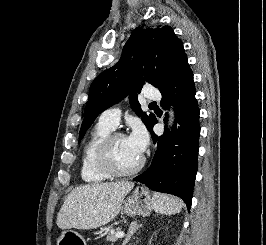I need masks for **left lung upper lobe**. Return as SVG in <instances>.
I'll return each instance as SVG.
<instances>
[{
    "instance_id": "5c2ea615",
    "label": "left lung upper lobe",
    "mask_w": 266,
    "mask_h": 245,
    "mask_svg": "<svg viewBox=\"0 0 266 245\" xmlns=\"http://www.w3.org/2000/svg\"><path fill=\"white\" fill-rule=\"evenodd\" d=\"M185 58L183 43L170 26L137 27L124 45L120 60L92 82L79 141L102 111L127 95L133 110L149 128L155 116L141 110L136 92L145 83L161 90Z\"/></svg>"
}]
</instances>
